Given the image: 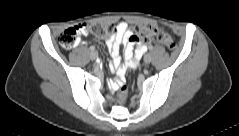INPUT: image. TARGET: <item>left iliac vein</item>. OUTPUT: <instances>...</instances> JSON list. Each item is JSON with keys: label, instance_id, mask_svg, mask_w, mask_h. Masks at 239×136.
I'll return each mask as SVG.
<instances>
[{"label": "left iliac vein", "instance_id": "1", "mask_svg": "<svg viewBox=\"0 0 239 136\" xmlns=\"http://www.w3.org/2000/svg\"><path fill=\"white\" fill-rule=\"evenodd\" d=\"M144 62L146 63V64H149L150 62H151V56L150 55H145L144 56Z\"/></svg>", "mask_w": 239, "mask_h": 136}]
</instances>
